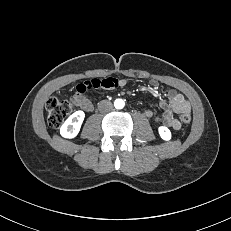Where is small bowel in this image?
Listing matches in <instances>:
<instances>
[{
    "instance_id": "obj_1",
    "label": "small bowel",
    "mask_w": 231,
    "mask_h": 231,
    "mask_svg": "<svg viewBox=\"0 0 231 231\" xmlns=\"http://www.w3.org/2000/svg\"><path fill=\"white\" fill-rule=\"evenodd\" d=\"M150 84L153 87L158 85L157 81L152 80ZM126 85L125 79H117L108 77L105 79H92L84 83L79 84L76 87V92L72 97L75 105L79 106L85 111H90L93 108V102L87 96V91L91 89H113L116 87H123ZM168 101H162L160 103L163 113L161 116L155 117L154 112L151 110L145 111V116L148 118H154L157 122L172 127L175 130L181 128V121L175 116V114L190 113L191 107L185 97L175 91L170 90L168 92Z\"/></svg>"
}]
</instances>
